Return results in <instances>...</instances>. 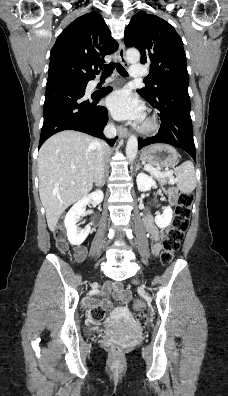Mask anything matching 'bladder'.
I'll return each mask as SVG.
<instances>
[{
    "mask_svg": "<svg viewBox=\"0 0 228 396\" xmlns=\"http://www.w3.org/2000/svg\"><path fill=\"white\" fill-rule=\"evenodd\" d=\"M99 331H95V330H88L87 331V335H93L95 333H98Z\"/></svg>",
    "mask_w": 228,
    "mask_h": 396,
    "instance_id": "bladder-1",
    "label": "bladder"
}]
</instances>
